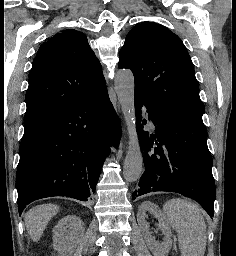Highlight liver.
Masks as SVG:
<instances>
[{
  "label": "liver",
  "instance_id": "6515ba94",
  "mask_svg": "<svg viewBox=\"0 0 236 256\" xmlns=\"http://www.w3.org/2000/svg\"><path fill=\"white\" fill-rule=\"evenodd\" d=\"M58 210L59 206H54V204H42V206H35L25 214V226L33 242H39L48 222L55 214H58Z\"/></svg>",
  "mask_w": 236,
  "mask_h": 256
}]
</instances>
